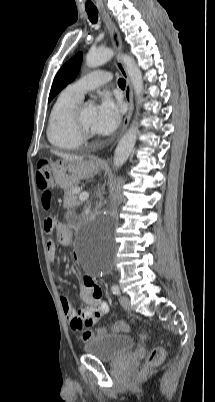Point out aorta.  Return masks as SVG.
Masks as SVG:
<instances>
[{
  "mask_svg": "<svg viewBox=\"0 0 215 402\" xmlns=\"http://www.w3.org/2000/svg\"><path fill=\"white\" fill-rule=\"evenodd\" d=\"M114 55V51L111 48H101L95 51H91L86 56V65L90 68H95L101 66L102 64L108 62ZM123 64L125 65L127 74L132 83L133 89L137 98H140L143 91V79L142 73L135 60L126 54L120 56ZM139 103V101H138ZM137 138V126L135 122L126 131V133L120 139L115 152H114V166L115 168L121 167L130 156ZM89 258H86V262Z\"/></svg>",
  "mask_w": 215,
  "mask_h": 402,
  "instance_id": "obj_1",
  "label": "aorta"
}]
</instances>
